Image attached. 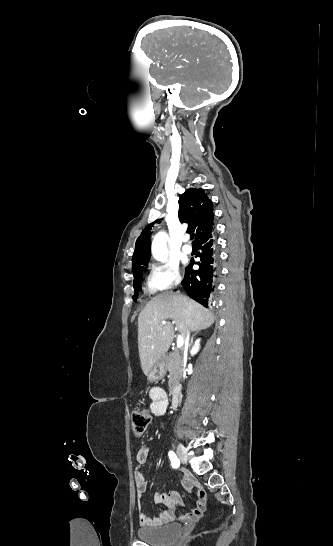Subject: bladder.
<instances>
[{
  "label": "bladder",
  "instance_id": "31cf9c89",
  "mask_svg": "<svg viewBox=\"0 0 333 546\" xmlns=\"http://www.w3.org/2000/svg\"><path fill=\"white\" fill-rule=\"evenodd\" d=\"M183 528L179 523H168L159 527H142L137 530L138 538L152 546H168L178 539Z\"/></svg>",
  "mask_w": 333,
  "mask_h": 546
}]
</instances>
